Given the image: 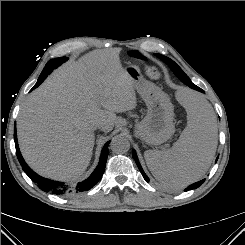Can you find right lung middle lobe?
<instances>
[{"instance_id": "right-lung-middle-lobe-1", "label": "right lung middle lobe", "mask_w": 245, "mask_h": 245, "mask_svg": "<svg viewBox=\"0 0 245 245\" xmlns=\"http://www.w3.org/2000/svg\"><path fill=\"white\" fill-rule=\"evenodd\" d=\"M65 61H67L66 57L55 58V59H51L46 65L56 68L57 66L61 65Z\"/></svg>"}]
</instances>
